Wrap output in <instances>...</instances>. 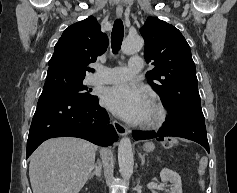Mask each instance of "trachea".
I'll return each instance as SVG.
<instances>
[{"label":"trachea","mask_w":237,"mask_h":193,"mask_svg":"<svg viewBox=\"0 0 237 193\" xmlns=\"http://www.w3.org/2000/svg\"><path fill=\"white\" fill-rule=\"evenodd\" d=\"M124 27L121 19H116L111 33V47L114 54H117L123 41Z\"/></svg>","instance_id":"1"}]
</instances>
